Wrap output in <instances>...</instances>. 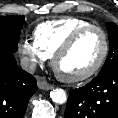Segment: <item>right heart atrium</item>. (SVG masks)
I'll return each mask as SVG.
<instances>
[{
	"mask_svg": "<svg viewBox=\"0 0 118 118\" xmlns=\"http://www.w3.org/2000/svg\"><path fill=\"white\" fill-rule=\"evenodd\" d=\"M18 53L27 69H34L43 64L48 57L32 40H22L18 45Z\"/></svg>",
	"mask_w": 118,
	"mask_h": 118,
	"instance_id": "obj_1",
	"label": "right heart atrium"
}]
</instances>
